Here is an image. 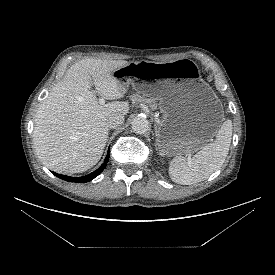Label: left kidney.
<instances>
[{
	"mask_svg": "<svg viewBox=\"0 0 275 275\" xmlns=\"http://www.w3.org/2000/svg\"><path fill=\"white\" fill-rule=\"evenodd\" d=\"M160 155H164V153L161 152Z\"/></svg>",
	"mask_w": 275,
	"mask_h": 275,
	"instance_id": "left-kidney-1",
	"label": "left kidney"
}]
</instances>
